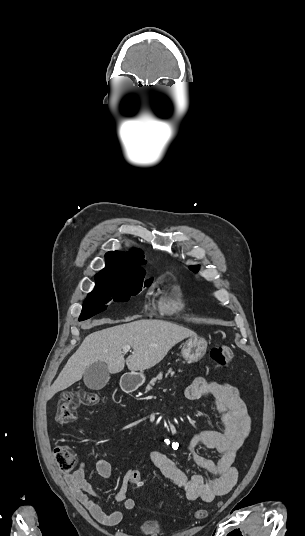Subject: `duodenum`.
<instances>
[{
  "label": "duodenum",
  "instance_id": "duodenum-1",
  "mask_svg": "<svg viewBox=\"0 0 305 536\" xmlns=\"http://www.w3.org/2000/svg\"><path fill=\"white\" fill-rule=\"evenodd\" d=\"M140 385V379L138 376L124 375L121 380V387L125 392H132L136 390Z\"/></svg>",
  "mask_w": 305,
  "mask_h": 536
}]
</instances>
